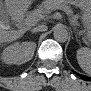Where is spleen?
Listing matches in <instances>:
<instances>
[{
    "label": "spleen",
    "instance_id": "3e777b00",
    "mask_svg": "<svg viewBox=\"0 0 91 91\" xmlns=\"http://www.w3.org/2000/svg\"><path fill=\"white\" fill-rule=\"evenodd\" d=\"M76 58L79 66L86 72L91 71V50L83 47L77 50Z\"/></svg>",
    "mask_w": 91,
    "mask_h": 91
}]
</instances>
